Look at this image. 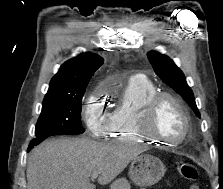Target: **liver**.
Here are the masks:
<instances>
[{"instance_id":"1","label":"liver","mask_w":223,"mask_h":189,"mask_svg":"<svg viewBox=\"0 0 223 189\" xmlns=\"http://www.w3.org/2000/svg\"><path fill=\"white\" fill-rule=\"evenodd\" d=\"M142 152L136 144L99 143L86 137L49 139L35 147L27 162V189H95L90 183L114 180Z\"/></svg>"}]
</instances>
